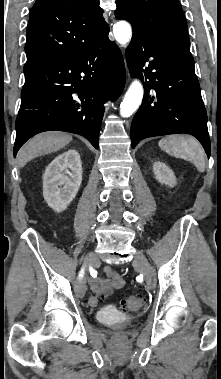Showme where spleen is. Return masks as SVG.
I'll return each mask as SVG.
<instances>
[{"label":"spleen","instance_id":"obj_1","mask_svg":"<svg viewBox=\"0 0 221 379\" xmlns=\"http://www.w3.org/2000/svg\"><path fill=\"white\" fill-rule=\"evenodd\" d=\"M158 145L169 155L190 161L199 172H204L205 153L195 138L185 135H169L162 138Z\"/></svg>","mask_w":221,"mask_h":379}]
</instances>
